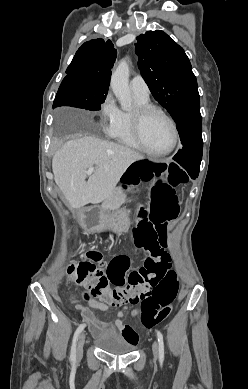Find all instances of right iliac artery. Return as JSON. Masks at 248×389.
Here are the masks:
<instances>
[{
    "mask_svg": "<svg viewBox=\"0 0 248 389\" xmlns=\"http://www.w3.org/2000/svg\"><path fill=\"white\" fill-rule=\"evenodd\" d=\"M84 328H85V324L79 325V327L75 331V334H74V337H73V343H72L71 354H70V360L73 363L76 361V343H77V339H78V336L80 335V333L82 332V330Z\"/></svg>",
    "mask_w": 248,
    "mask_h": 389,
    "instance_id": "obj_1",
    "label": "right iliac artery"
}]
</instances>
